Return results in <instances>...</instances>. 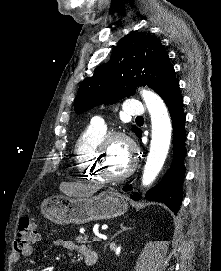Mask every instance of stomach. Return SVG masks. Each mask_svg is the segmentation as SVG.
I'll use <instances>...</instances> for the list:
<instances>
[{
  "instance_id": "0dacf381",
  "label": "stomach",
  "mask_w": 221,
  "mask_h": 271,
  "mask_svg": "<svg viewBox=\"0 0 221 271\" xmlns=\"http://www.w3.org/2000/svg\"><path fill=\"white\" fill-rule=\"evenodd\" d=\"M128 209V201L116 189H105L91 197H47L42 213L55 223H88L118 217Z\"/></svg>"
}]
</instances>
